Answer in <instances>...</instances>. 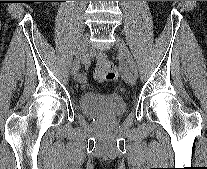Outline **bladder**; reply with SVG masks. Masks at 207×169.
Wrapping results in <instances>:
<instances>
[{
    "label": "bladder",
    "mask_w": 207,
    "mask_h": 169,
    "mask_svg": "<svg viewBox=\"0 0 207 169\" xmlns=\"http://www.w3.org/2000/svg\"><path fill=\"white\" fill-rule=\"evenodd\" d=\"M79 103L82 112L90 117H116L123 114L127 107L125 99L119 94L93 91L82 94Z\"/></svg>",
    "instance_id": "31cf9c89"
}]
</instances>
